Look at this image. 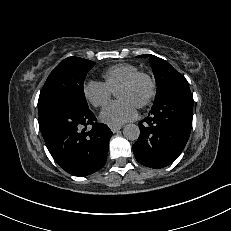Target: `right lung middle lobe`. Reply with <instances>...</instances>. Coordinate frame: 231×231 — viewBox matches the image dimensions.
I'll return each instance as SVG.
<instances>
[{
    "label": "right lung middle lobe",
    "instance_id": "obj_1",
    "mask_svg": "<svg viewBox=\"0 0 231 231\" xmlns=\"http://www.w3.org/2000/svg\"><path fill=\"white\" fill-rule=\"evenodd\" d=\"M94 62L69 57L60 62L48 76L38 100L39 115L60 105L87 108L83 83Z\"/></svg>",
    "mask_w": 231,
    "mask_h": 231
}]
</instances>
